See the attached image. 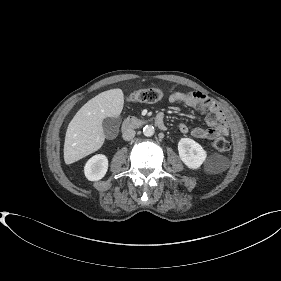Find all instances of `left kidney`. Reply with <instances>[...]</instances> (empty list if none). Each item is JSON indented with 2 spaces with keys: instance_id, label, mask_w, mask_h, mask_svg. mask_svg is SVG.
Instances as JSON below:
<instances>
[{
  "instance_id": "5707ae66",
  "label": "left kidney",
  "mask_w": 281,
  "mask_h": 281,
  "mask_svg": "<svg viewBox=\"0 0 281 281\" xmlns=\"http://www.w3.org/2000/svg\"><path fill=\"white\" fill-rule=\"evenodd\" d=\"M179 157L190 169H198L207 157L203 147L190 138H182L178 142Z\"/></svg>"
}]
</instances>
